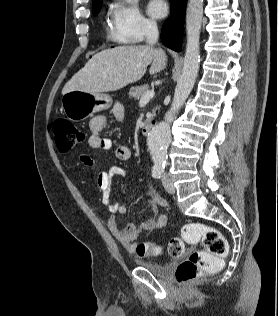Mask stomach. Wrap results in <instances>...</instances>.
<instances>
[{
	"instance_id": "0dacf381",
	"label": "stomach",
	"mask_w": 278,
	"mask_h": 316,
	"mask_svg": "<svg viewBox=\"0 0 278 316\" xmlns=\"http://www.w3.org/2000/svg\"><path fill=\"white\" fill-rule=\"evenodd\" d=\"M61 109L71 121H81L112 105V98L103 93L70 91L62 96Z\"/></svg>"
}]
</instances>
